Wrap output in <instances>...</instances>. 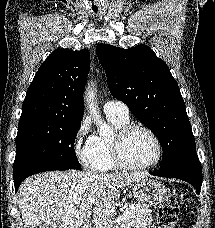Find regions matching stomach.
I'll return each instance as SVG.
<instances>
[{
    "label": "stomach",
    "mask_w": 215,
    "mask_h": 228,
    "mask_svg": "<svg viewBox=\"0 0 215 228\" xmlns=\"http://www.w3.org/2000/svg\"><path fill=\"white\" fill-rule=\"evenodd\" d=\"M134 198H137L139 202H146L151 206H157L163 202L167 190L159 180H140L136 184H131Z\"/></svg>",
    "instance_id": "0dacf381"
}]
</instances>
